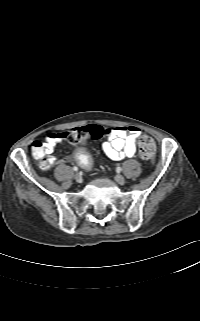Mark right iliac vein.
Segmentation results:
<instances>
[{
  "label": "right iliac vein",
  "mask_w": 200,
  "mask_h": 321,
  "mask_svg": "<svg viewBox=\"0 0 200 321\" xmlns=\"http://www.w3.org/2000/svg\"><path fill=\"white\" fill-rule=\"evenodd\" d=\"M74 179L77 181V182H82V177H81V175L80 174H78V173H76L75 175H74Z\"/></svg>",
  "instance_id": "63e3f726"
}]
</instances>
